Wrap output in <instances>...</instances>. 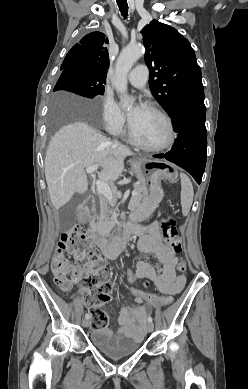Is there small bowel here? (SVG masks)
Instances as JSON below:
<instances>
[{
  "label": "small bowel",
  "instance_id": "c3829d8e",
  "mask_svg": "<svg viewBox=\"0 0 248 389\" xmlns=\"http://www.w3.org/2000/svg\"><path fill=\"white\" fill-rule=\"evenodd\" d=\"M138 232L144 235L137 244V251L140 254L155 255L163 265V272L159 273L147 261L140 259L136 262L134 270L135 282L147 278L153 281L157 290L165 295L178 293L185 283L183 275L176 276L175 266L177 264L176 251L170 244L163 243L160 238L159 227L156 222L146 226H136ZM129 287V286H128ZM127 287V290H128ZM128 292H130L128 290ZM134 303L139 304L137 308H122L118 316L120 328L116 332L104 330L107 334L125 335L135 341H140L146 333L147 321L150 317L152 307L141 298H132Z\"/></svg>",
  "mask_w": 248,
  "mask_h": 389
}]
</instances>
